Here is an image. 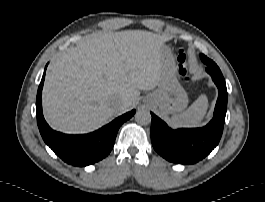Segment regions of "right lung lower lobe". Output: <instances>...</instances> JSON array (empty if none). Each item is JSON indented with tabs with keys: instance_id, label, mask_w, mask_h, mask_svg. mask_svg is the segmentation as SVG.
Wrapping results in <instances>:
<instances>
[{
	"instance_id": "right-lung-lower-lobe-1",
	"label": "right lung lower lobe",
	"mask_w": 265,
	"mask_h": 202,
	"mask_svg": "<svg viewBox=\"0 0 265 202\" xmlns=\"http://www.w3.org/2000/svg\"><path fill=\"white\" fill-rule=\"evenodd\" d=\"M45 73L38 88L36 98L37 123L45 143L68 164L87 166L105 158L112 150L120 126L130 119L135 110H132L108 125L90 134L67 135L52 130L42 114V88Z\"/></svg>"
}]
</instances>
